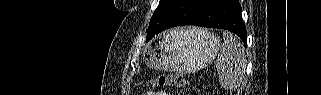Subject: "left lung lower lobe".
Here are the masks:
<instances>
[{"label": "left lung lower lobe", "instance_id": "1", "mask_svg": "<svg viewBox=\"0 0 321 95\" xmlns=\"http://www.w3.org/2000/svg\"><path fill=\"white\" fill-rule=\"evenodd\" d=\"M180 25L226 29L237 34L246 44V29L238 0H175L146 40L149 41L165 29Z\"/></svg>", "mask_w": 321, "mask_h": 95}]
</instances>
